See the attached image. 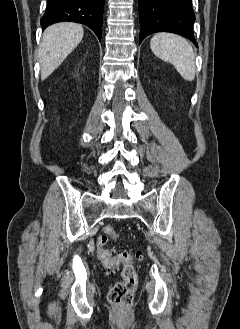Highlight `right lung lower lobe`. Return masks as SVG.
Listing matches in <instances>:
<instances>
[{"label": "right lung lower lobe", "instance_id": "obj_1", "mask_svg": "<svg viewBox=\"0 0 240 329\" xmlns=\"http://www.w3.org/2000/svg\"><path fill=\"white\" fill-rule=\"evenodd\" d=\"M104 1L47 0V9L40 21L42 29L56 22H77L91 28L101 40Z\"/></svg>", "mask_w": 240, "mask_h": 329}]
</instances>
